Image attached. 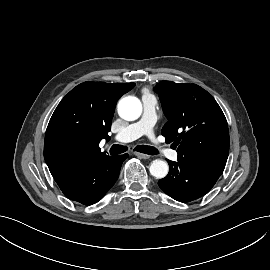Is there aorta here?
I'll return each mask as SVG.
<instances>
[{
	"label": "aorta",
	"mask_w": 270,
	"mask_h": 270,
	"mask_svg": "<svg viewBox=\"0 0 270 270\" xmlns=\"http://www.w3.org/2000/svg\"><path fill=\"white\" fill-rule=\"evenodd\" d=\"M142 113V104L140 100L134 96L122 98L118 103V114L127 121H134L140 117ZM168 164L163 160L156 159L152 161L149 171L152 176L162 179L168 174Z\"/></svg>",
	"instance_id": "aorta-1"
}]
</instances>
